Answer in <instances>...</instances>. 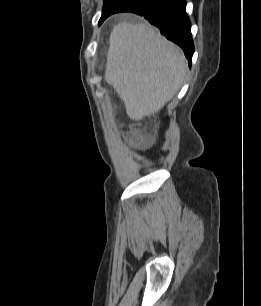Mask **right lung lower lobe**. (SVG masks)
I'll return each instance as SVG.
<instances>
[{
    "label": "right lung lower lobe",
    "instance_id": "98d812e1",
    "mask_svg": "<svg viewBox=\"0 0 261 306\" xmlns=\"http://www.w3.org/2000/svg\"><path fill=\"white\" fill-rule=\"evenodd\" d=\"M185 0H130L122 7L100 18L101 24L108 16L118 12H133L144 16L157 26L161 34L178 44L191 64L194 46L190 20L185 12Z\"/></svg>",
    "mask_w": 261,
    "mask_h": 306
}]
</instances>
